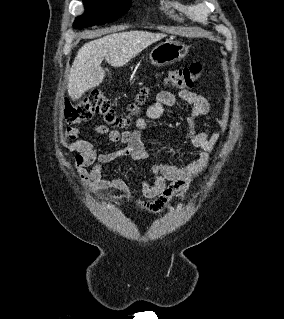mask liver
Instances as JSON below:
<instances>
[{"label":"liver","instance_id":"obj_1","mask_svg":"<svg viewBox=\"0 0 284 319\" xmlns=\"http://www.w3.org/2000/svg\"><path fill=\"white\" fill-rule=\"evenodd\" d=\"M166 37L164 33L126 31L105 35L85 43L77 52L68 77L67 91L73 101L102 83L105 59L113 67H122L143 49Z\"/></svg>","mask_w":284,"mask_h":319}]
</instances>
